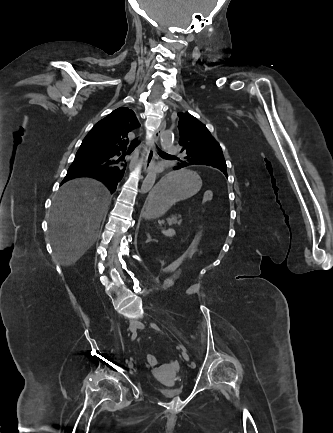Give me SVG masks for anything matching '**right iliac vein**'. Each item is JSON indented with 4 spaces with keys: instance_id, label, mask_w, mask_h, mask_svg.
Instances as JSON below:
<instances>
[{
    "instance_id": "63e3f726",
    "label": "right iliac vein",
    "mask_w": 333,
    "mask_h": 433,
    "mask_svg": "<svg viewBox=\"0 0 333 433\" xmlns=\"http://www.w3.org/2000/svg\"><path fill=\"white\" fill-rule=\"evenodd\" d=\"M130 330H131L132 332H134V331L136 330V326H135L134 323H131V324H130ZM128 366H129L130 368H132V367H133V363L130 362Z\"/></svg>"
}]
</instances>
